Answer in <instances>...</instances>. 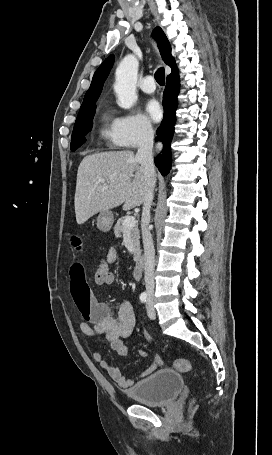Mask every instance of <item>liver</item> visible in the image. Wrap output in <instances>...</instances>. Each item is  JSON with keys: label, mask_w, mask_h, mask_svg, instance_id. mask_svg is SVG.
Returning a JSON list of instances; mask_svg holds the SVG:
<instances>
[{"label": "liver", "mask_w": 272, "mask_h": 455, "mask_svg": "<svg viewBox=\"0 0 272 455\" xmlns=\"http://www.w3.org/2000/svg\"><path fill=\"white\" fill-rule=\"evenodd\" d=\"M147 188L148 178L132 151L88 155L81 161L77 172L76 221L81 225L98 212L121 204L124 210L140 206L144 203Z\"/></svg>", "instance_id": "6515ba94"}]
</instances>
